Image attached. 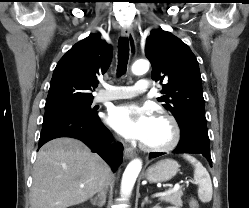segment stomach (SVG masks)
<instances>
[{
    "mask_svg": "<svg viewBox=\"0 0 249 208\" xmlns=\"http://www.w3.org/2000/svg\"><path fill=\"white\" fill-rule=\"evenodd\" d=\"M179 171V164L173 159H163L150 166L145 172V178L150 183L166 182Z\"/></svg>",
    "mask_w": 249,
    "mask_h": 208,
    "instance_id": "1",
    "label": "stomach"
}]
</instances>
